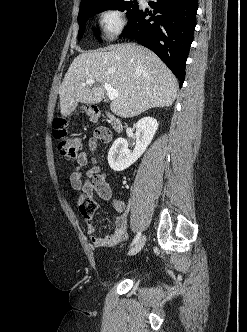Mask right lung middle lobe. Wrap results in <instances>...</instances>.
<instances>
[{"instance_id": "right-lung-middle-lobe-1", "label": "right lung middle lobe", "mask_w": 247, "mask_h": 332, "mask_svg": "<svg viewBox=\"0 0 247 332\" xmlns=\"http://www.w3.org/2000/svg\"><path fill=\"white\" fill-rule=\"evenodd\" d=\"M138 3L136 1L129 0H105L99 3L90 5L79 10L78 23H79V39L82 38L85 31L86 21L97 13L105 10H120L126 11L127 17H132L139 10Z\"/></svg>"}]
</instances>
